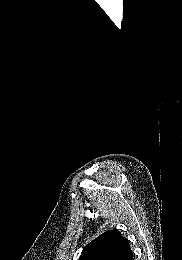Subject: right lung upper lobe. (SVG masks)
<instances>
[{
  "label": "right lung upper lobe",
  "mask_w": 182,
  "mask_h": 260,
  "mask_svg": "<svg viewBox=\"0 0 182 260\" xmlns=\"http://www.w3.org/2000/svg\"><path fill=\"white\" fill-rule=\"evenodd\" d=\"M79 260H133V253L118 230H109L86 245Z\"/></svg>",
  "instance_id": "obj_1"
}]
</instances>
